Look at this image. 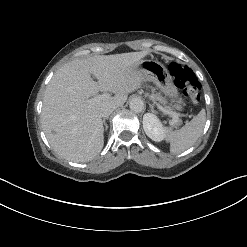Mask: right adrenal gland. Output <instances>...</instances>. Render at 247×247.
Returning <instances> with one entry per match:
<instances>
[{"mask_svg":"<svg viewBox=\"0 0 247 247\" xmlns=\"http://www.w3.org/2000/svg\"><path fill=\"white\" fill-rule=\"evenodd\" d=\"M108 118H104L103 119V124H104V126H105V130H107L108 129V125H107V123H106V120H107Z\"/></svg>","mask_w":247,"mask_h":247,"instance_id":"right-adrenal-gland-1","label":"right adrenal gland"}]
</instances>
